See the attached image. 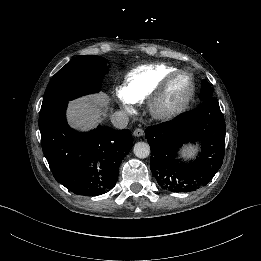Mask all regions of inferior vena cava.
I'll use <instances>...</instances> for the list:
<instances>
[{
  "instance_id": "1",
  "label": "inferior vena cava",
  "mask_w": 261,
  "mask_h": 261,
  "mask_svg": "<svg viewBox=\"0 0 261 261\" xmlns=\"http://www.w3.org/2000/svg\"><path fill=\"white\" fill-rule=\"evenodd\" d=\"M111 122H112L113 126H115L116 128L124 129L127 127L128 123H129V118L126 115V113H124L122 111H115L111 115Z\"/></svg>"
}]
</instances>
